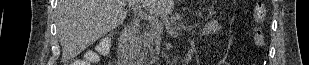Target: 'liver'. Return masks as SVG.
Segmentation results:
<instances>
[{"label":"liver","mask_w":309,"mask_h":65,"mask_svg":"<svg viewBox=\"0 0 309 65\" xmlns=\"http://www.w3.org/2000/svg\"><path fill=\"white\" fill-rule=\"evenodd\" d=\"M133 0H59L57 34L62 58L69 60L100 37L120 25L125 17L126 2ZM144 9L157 15L171 13L173 0H139Z\"/></svg>","instance_id":"liver-1"}]
</instances>
